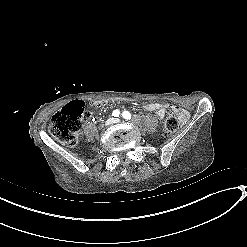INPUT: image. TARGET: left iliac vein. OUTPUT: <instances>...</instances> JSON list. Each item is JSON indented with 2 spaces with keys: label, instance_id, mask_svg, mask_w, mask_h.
<instances>
[{
  "label": "left iliac vein",
  "instance_id": "1",
  "mask_svg": "<svg viewBox=\"0 0 247 247\" xmlns=\"http://www.w3.org/2000/svg\"><path fill=\"white\" fill-rule=\"evenodd\" d=\"M114 122L118 123V122H120V119H115Z\"/></svg>",
  "mask_w": 247,
  "mask_h": 247
}]
</instances>
